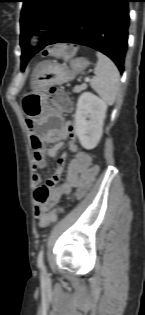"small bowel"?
Wrapping results in <instances>:
<instances>
[{
    "instance_id": "obj_1",
    "label": "small bowel",
    "mask_w": 145,
    "mask_h": 315,
    "mask_svg": "<svg viewBox=\"0 0 145 315\" xmlns=\"http://www.w3.org/2000/svg\"><path fill=\"white\" fill-rule=\"evenodd\" d=\"M28 127L33 125L28 123ZM73 126L69 123L64 129L57 133L59 142L45 148V142H50L53 139L52 131L47 129L40 137V140L33 137L29 141V146L33 149L32 167L35 171L41 170L45 167V157H56L58 152L63 147V140H65L72 132ZM70 150L73 152V158L70 160L67 168V173L63 182L59 183L52 191L50 197V190L59 181L64 169L65 157L62 156L55 168L53 175L42 184V177L38 173H34L32 183L35 187V199L38 202L35 206V217L38 219L39 226L45 228L51 223H44V216H48L50 209L63 197L71 199H81L91 188L95 181L99 169L92 164L90 155L79 148L74 142L70 143Z\"/></svg>"
}]
</instances>
